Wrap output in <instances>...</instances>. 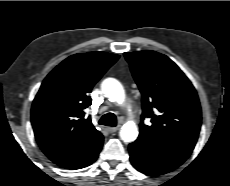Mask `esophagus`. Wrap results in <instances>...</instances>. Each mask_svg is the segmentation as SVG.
<instances>
[{
	"mask_svg": "<svg viewBox=\"0 0 230 186\" xmlns=\"http://www.w3.org/2000/svg\"><path fill=\"white\" fill-rule=\"evenodd\" d=\"M120 129V126H117V127H108V131L110 133H114L116 131H118Z\"/></svg>",
	"mask_w": 230,
	"mask_h": 186,
	"instance_id": "1",
	"label": "esophagus"
}]
</instances>
